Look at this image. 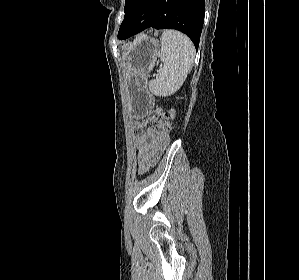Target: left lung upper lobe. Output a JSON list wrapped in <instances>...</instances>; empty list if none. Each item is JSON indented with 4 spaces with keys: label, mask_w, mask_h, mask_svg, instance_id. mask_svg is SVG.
I'll return each instance as SVG.
<instances>
[{
    "label": "left lung upper lobe",
    "mask_w": 299,
    "mask_h": 280,
    "mask_svg": "<svg viewBox=\"0 0 299 280\" xmlns=\"http://www.w3.org/2000/svg\"><path fill=\"white\" fill-rule=\"evenodd\" d=\"M134 0H125V8H124V12H125V17H124V20L121 24V27L119 29V32H118V37L119 35L121 34L125 24L127 23L128 21V18H129V15H130V12H131V9H132V2Z\"/></svg>",
    "instance_id": "1"
}]
</instances>
